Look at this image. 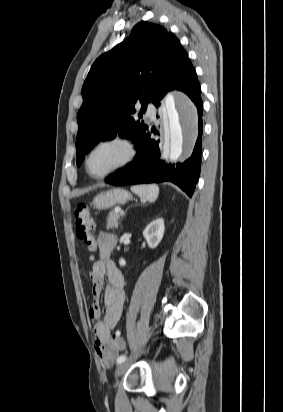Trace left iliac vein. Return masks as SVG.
Here are the masks:
<instances>
[{"label":"left iliac vein","mask_w":283,"mask_h":412,"mask_svg":"<svg viewBox=\"0 0 283 412\" xmlns=\"http://www.w3.org/2000/svg\"><path fill=\"white\" fill-rule=\"evenodd\" d=\"M139 354H136L131 360L124 361L116 369V376L121 375L131 365V363L138 358Z\"/></svg>","instance_id":"1"}]
</instances>
